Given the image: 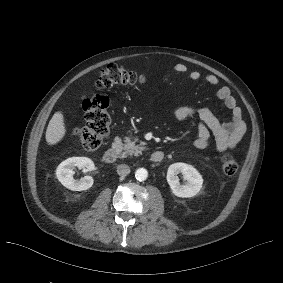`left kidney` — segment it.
Here are the masks:
<instances>
[{
	"mask_svg": "<svg viewBox=\"0 0 283 283\" xmlns=\"http://www.w3.org/2000/svg\"><path fill=\"white\" fill-rule=\"evenodd\" d=\"M179 173L183 175L185 180L184 184L179 182V178L177 176ZM166 178L172 193L181 198L195 196L199 193L203 184V178L196 168L192 165L181 162L174 163L169 166Z\"/></svg>",
	"mask_w": 283,
	"mask_h": 283,
	"instance_id": "1",
	"label": "left kidney"
}]
</instances>
